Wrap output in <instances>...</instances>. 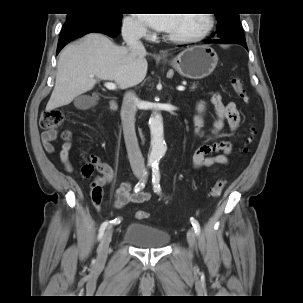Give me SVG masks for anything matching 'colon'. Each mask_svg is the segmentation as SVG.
Instances as JSON below:
<instances>
[{
	"label": "colon",
	"mask_w": 303,
	"mask_h": 303,
	"mask_svg": "<svg viewBox=\"0 0 303 303\" xmlns=\"http://www.w3.org/2000/svg\"><path fill=\"white\" fill-rule=\"evenodd\" d=\"M230 83L238 97L245 103L248 102V95L245 90V85L239 76H232L230 79ZM64 122V116L62 111L58 109L46 110L43 112L40 119V126L45 129H57L62 126ZM65 139H70L71 134L69 132H65ZM83 172L86 176H90L93 173V166L91 164L85 165L83 168ZM226 179L220 178L218 179L214 185L212 186L209 196L211 198H217L221 194L223 188L225 187ZM92 199L96 203H100L102 200V192L101 186L98 183H95L92 189ZM150 217V213L145 210L137 211L136 218L138 220H147Z\"/></svg>",
	"instance_id": "obj_1"
}]
</instances>
